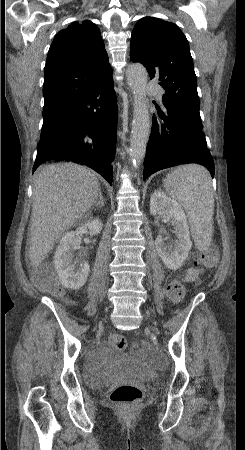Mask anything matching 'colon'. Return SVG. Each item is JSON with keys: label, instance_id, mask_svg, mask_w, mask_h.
<instances>
[{"label": "colon", "instance_id": "obj_1", "mask_svg": "<svg viewBox=\"0 0 245 450\" xmlns=\"http://www.w3.org/2000/svg\"><path fill=\"white\" fill-rule=\"evenodd\" d=\"M218 261V252L214 248H209L200 254L194 261L193 267L197 269H211L215 267ZM37 286L46 292L55 296H61L62 290L55 283L53 275L43 273L38 277ZM167 296L173 304H180L186 296V288L181 277L172 279L167 286ZM110 342L117 350H126L128 341L125 337L113 335ZM143 390L132 384H120L115 386L110 394V400L113 404L121 408H129L143 397Z\"/></svg>", "mask_w": 245, "mask_h": 450}]
</instances>
